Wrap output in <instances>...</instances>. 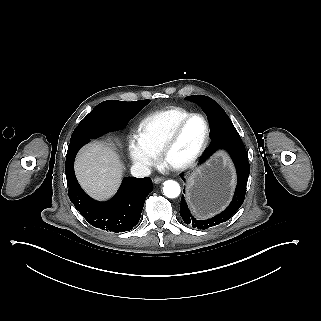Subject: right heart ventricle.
I'll list each match as a JSON object with an SVG mask.
<instances>
[{
  "label": "right heart ventricle",
  "instance_id": "right-heart-ventricle-1",
  "mask_svg": "<svg viewBox=\"0 0 321 321\" xmlns=\"http://www.w3.org/2000/svg\"><path fill=\"white\" fill-rule=\"evenodd\" d=\"M192 112L179 106L157 110L146 116L139 125V133L145 142L158 154L172 127ZM163 162L160 160L159 165Z\"/></svg>",
  "mask_w": 321,
  "mask_h": 321
}]
</instances>
